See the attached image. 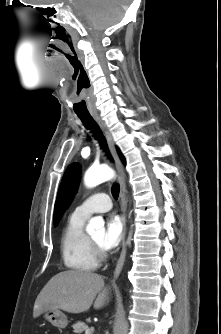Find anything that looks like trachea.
Here are the masks:
<instances>
[{
	"instance_id": "obj_1",
	"label": "trachea",
	"mask_w": 221,
	"mask_h": 334,
	"mask_svg": "<svg viewBox=\"0 0 221 334\" xmlns=\"http://www.w3.org/2000/svg\"><path fill=\"white\" fill-rule=\"evenodd\" d=\"M78 117L81 119L84 126L88 129H91L94 133V136L98 141L100 142L101 146L105 149H107V143L106 140L99 128V126L96 124V122L93 120V118L90 115H78ZM112 195L115 199L119 196V185L115 184L112 186L111 189Z\"/></svg>"
}]
</instances>
